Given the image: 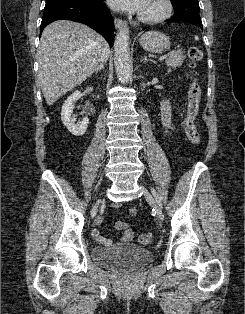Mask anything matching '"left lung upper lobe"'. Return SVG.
<instances>
[{
    "label": "left lung upper lobe",
    "mask_w": 245,
    "mask_h": 314,
    "mask_svg": "<svg viewBox=\"0 0 245 314\" xmlns=\"http://www.w3.org/2000/svg\"><path fill=\"white\" fill-rule=\"evenodd\" d=\"M175 14L173 17H183L201 22L198 0H171Z\"/></svg>",
    "instance_id": "left-lung-upper-lobe-1"
}]
</instances>
